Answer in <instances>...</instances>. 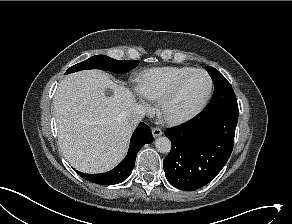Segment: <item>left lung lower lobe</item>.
Segmentation results:
<instances>
[{"label":"left lung lower lobe","instance_id":"1","mask_svg":"<svg viewBox=\"0 0 292 224\" xmlns=\"http://www.w3.org/2000/svg\"><path fill=\"white\" fill-rule=\"evenodd\" d=\"M237 101L205 109L192 122L165 132L172 149L163 161L168 182L185 191L212 181L228 161L238 121Z\"/></svg>","mask_w":292,"mask_h":224}]
</instances>
